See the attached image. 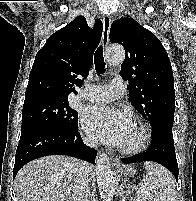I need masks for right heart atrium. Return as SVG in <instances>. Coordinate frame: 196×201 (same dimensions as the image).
<instances>
[{"label": "right heart atrium", "mask_w": 196, "mask_h": 201, "mask_svg": "<svg viewBox=\"0 0 196 201\" xmlns=\"http://www.w3.org/2000/svg\"><path fill=\"white\" fill-rule=\"evenodd\" d=\"M85 140H86L87 143H91V140H89V139H85Z\"/></svg>", "instance_id": "obj_1"}]
</instances>
